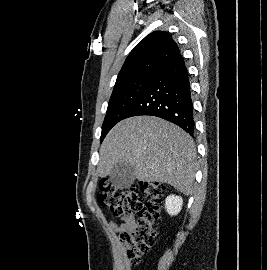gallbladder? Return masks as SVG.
Returning a JSON list of instances; mask_svg holds the SVG:
<instances>
[{
    "instance_id": "obj_1",
    "label": "gallbladder",
    "mask_w": 267,
    "mask_h": 270,
    "mask_svg": "<svg viewBox=\"0 0 267 270\" xmlns=\"http://www.w3.org/2000/svg\"><path fill=\"white\" fill-rule=\"evenodd\" d=\"M135 178V170L129 163L115 164L109 174V180L119 189L129 188Z\"/></svg>"
}]
</instances>
